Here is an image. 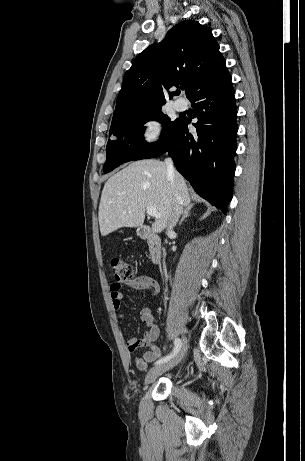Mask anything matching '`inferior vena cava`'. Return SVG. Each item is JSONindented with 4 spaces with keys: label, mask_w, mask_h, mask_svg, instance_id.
<instances>
[{
    "label": "inferior vena cava",
    "mask_w": 305,
    "mask_h": 461,
    "mask_svg": "<svg viewBox=\"0 0 305 461\" xmlns=\"http://www.w3.org/2000/svg\"><path fill=\"white\" fill-rule=\"evenodd\" d=\"M165 165L167 169V176L171 179V185L175 188V170L173 167V161L170 158L165 160ZM182 213V199L176 193V199L173 201V207L170 211L169 218H168V232H171L175 227L180 214ZM163 256L165 257V249H163Z\"/></svg>",
    "instance_id": "1"
}]
</instances>
